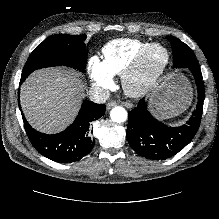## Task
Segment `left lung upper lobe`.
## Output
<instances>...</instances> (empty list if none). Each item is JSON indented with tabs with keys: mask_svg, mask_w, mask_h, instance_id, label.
Here are the masks:
<instances>
[{
	"mask_svg": "<svg viewBox=\"0 0 219 219\" xmlns=\"http://www.w3.org/2000/svg\"><path fill=\"white\" fill-rule=\"evenodd\" d=\"M173 48V64L176 68H199L192 49L177 38L168 37Z\"/></svg>",
	"mask_w": 219,
	"mask_h": 219,
	"instance_id": "1",
	"label": "left lung upper lobe"
}]
</instances>
